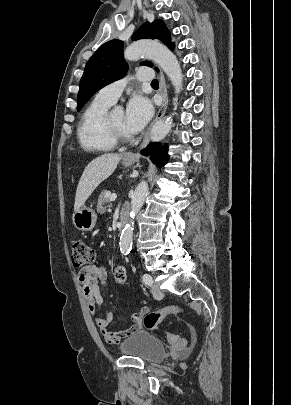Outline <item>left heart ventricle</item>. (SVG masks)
I'll return each instance as SVG.
<instances>
[{"mask_svg":"<svg viewBox=\"0 0 291 405\" xmlns=\"http://www.w3.org/2000/svg\"><path fill=\"white\" fill-rule=\"evenodd\" d=\"M112 124L124 134L131 136V133L127 130L125 125V113L122 111L111 114Z\"/></svg>","mask_w":291,"mask_h":405,"instance_id":"obj_1","label":"left heart ventricle"}]
</instances>
